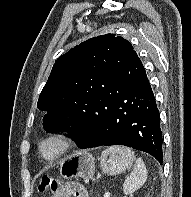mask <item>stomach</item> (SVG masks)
<instances>
[{"label":"stomach","instance_id":"1","mask_svg":"<svg viewBox=\"0 0 191 197\" xmlns=\"http://www.w3.org/2000/svg\"><path fill=\"white\" fill-rule=\"evenodd\" d=\"M94 160L93 155L88 151L76 152L61 164L60 175L63 178H91L95 173ZM129 165V163L123 162L118 158L117 154L109 150H106L101 155L100 167L105 174H119Z\"/></svg>","mask_w":191,"mask_h":197}]
</instances>
